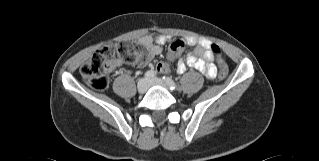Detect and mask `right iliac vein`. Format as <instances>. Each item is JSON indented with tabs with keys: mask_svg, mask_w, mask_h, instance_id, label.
I'll return each mask as SVG.
<instances>
[{
	"mask_svg": "<svg viewBox=\"0 0 319 161\" xmlns=\"http://www.w3.org/2000/svg\"><path fill=\"white\" fill-rule=\"evenodd\" d=\"M148 89V80L145 78H142L138 81L137 84V90L140 94H143L147 91Z\"/></svg>",
	"mask_w": 319,
	"mask_h": 161,
	"instance_id": "obj_1",
	"label": "right iliac vein"
}]
</instances>
